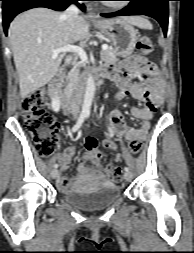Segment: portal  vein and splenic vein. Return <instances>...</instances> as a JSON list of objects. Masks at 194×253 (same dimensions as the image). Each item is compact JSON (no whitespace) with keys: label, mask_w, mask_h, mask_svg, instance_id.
<instances>
[{"label":"portal vein and splenic vein","mask_w":194,"mask_h":253,"mask_svg":"<svg viewBox=\"0 0 194 253\" xmlns=\"http://www.w3.org/2000/svg\"><path fill=\"white\" fill-rule=\"evenodd\" d=\"M107 49H108V45L103 44L102 51H105ZM51 52H52V58H56L60 53L73 52V53H77L83 62H86L88 59L85 51L81 47L74 46V45H66L58 49H53Z\"/></svg>","instance_id":"18ae733b"}]
</instances>
